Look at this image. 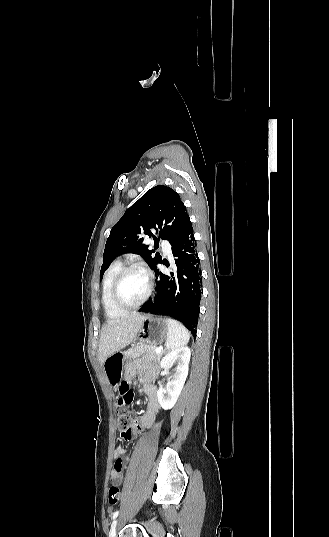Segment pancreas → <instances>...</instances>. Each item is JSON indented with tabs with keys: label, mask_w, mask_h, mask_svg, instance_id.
I'll list each match as a JSON object with an SVG mask.
<instances>
[{
	"label": "pancreas",
	"mask_w": 329,
	"mask_h": 537,
	"mask_svg": "<svg viewBox=\"0 0 329 537\" xmlns=\"http://www.w3.org/2000/svg\"><path fill=\"white\" fill-rule=\"evenodd\" d=\"M165 353V350L161 351L160 353H157L156 347L153 345H140L126 351L125 356L127 359H135L138 357H142V359L146 361L159 362L161 357Z\"/></svg>",
	"instance_id": "obj_1"
}]
</instances>
